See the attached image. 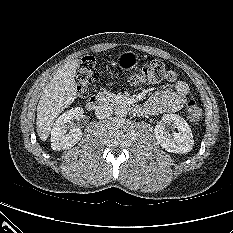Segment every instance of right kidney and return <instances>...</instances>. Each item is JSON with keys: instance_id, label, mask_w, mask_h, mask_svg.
<instances>
[{"instance_id": "1", "label": "right kidney", "mask_w": 233, "mask_h": 233, "mask_svg": "<svg viewBox=\"0 0 233 233\" xmlns=\"http://www.w3.org/2000/svg\"><path fill=\"white\" fill-rule=\"evenodd\" d=\"M84 110L80 107L72 108L55 121L51 131V147L53 150H65L73 147L82 137V131L73 127L71 121L83 117Z\"/></svg>"}]
</instances>
